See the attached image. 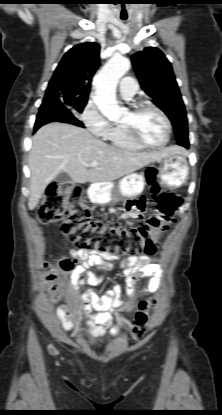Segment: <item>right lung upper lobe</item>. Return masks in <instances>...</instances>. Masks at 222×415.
<instances>
[{"label": "right lung upper lobe", "mask_w": 222, "mask_h": 415, "mask_svg": "<svg viewBox=\"0 0 222 415\" xmlns=\"http://www.w3.org/2000/svg\"><path fill=\"white\" fill-rule=\"evenodd\" d=\"M99 50V44L91 42L71 48L56 68L44 99L54 100L62 95L87 100L92 77L100 65Z\"/></svg>", "instance_id": "right-lung-upper-lobe-1"}]
</instances>
